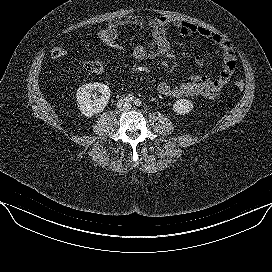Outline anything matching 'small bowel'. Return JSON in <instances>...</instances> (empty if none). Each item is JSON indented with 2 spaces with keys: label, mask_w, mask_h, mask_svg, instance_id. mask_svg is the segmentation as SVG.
<instances>
[{
  "label": "small bowel",
  "mask_w": 272,
  "mask_h": 272,
  "mask_svg": "<svg viewBox=\"0 0 272 272\" xmlns=\"http://www.w3.org/2000/svg\"><path fill=\"white\" fill-rule=\"evenodd\" d=\"M127 26L135 27L143 32H150L151 38L147 44L137 45L132 49V55L138 61L154 60L171 53V44L167 36L169 28L178 30L185 37L199 35L221 50L223 64L215 77L199 73L190 75L176 84L161 81L157 85V91L164 96L213 99L219 95L235 71L237 58L233 46L220 34L205 27L166 16L151 17L145 20L138 15H125L109 22L105 30L119 35L120 30ZM195 64L197 67L203 68L205 65L204 58L196 57Z\"/></svg>",
  "instance_id": "obj_1"
}]
</instances>
